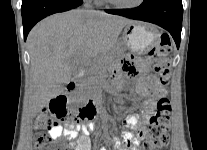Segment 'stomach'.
Wrapping results in <instances>:
<instances>
[{
  "mask_svg": "<svg viewBox=\"0 0 207 150\" xmlns=\"http://www.w3.org/2000/svg\"><path fill=\"white\" fill-rule=\"evenodd\" d=\"M158 35L156 29L132 22L123 28L119 46L130 48L137 54H144L151 46L156 44Z\"/></svg>",
  "mask_w": 207,
  "mask_h": 150,
  "instance_id": "stomach-1",
  "label": "stomach"
}]
</instances>
